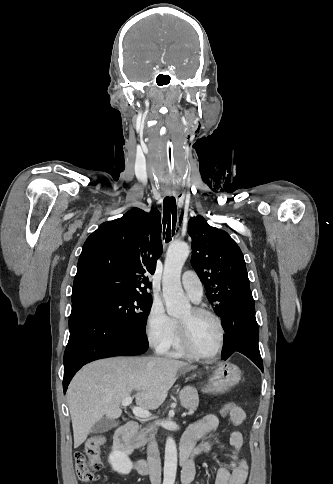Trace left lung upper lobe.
<instances>
[{"label": "left lung upper lobe", "instance_id": "1", "mask_svg": "<svg viewBox=\"0 0 333 484\" xmlns=\"http://www.w3.org/2000/svg\"><path fill=\"white\" fill-rule=\"evenodd\" d=\"M188 233L193 244L192 265L222 316L229 301L250 290L242 251L227 232L211 227L202 216L189 220Z\"/></svg>", "mask_w": 333, "mask_h": 484}]
</instances>
